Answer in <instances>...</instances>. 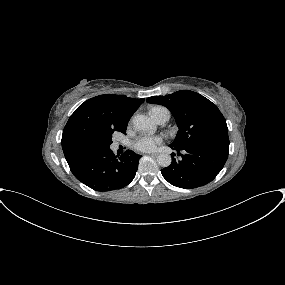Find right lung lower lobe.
Instances as JSON below:
<instances>
[{"mask_svg":"<svg viewBox=\"0 0 285 285\" xmlns=\"http://www.w3.org/2000/svg\"><path fill=\"white\" fill-rule=\"evenodd\" d=\"M141 155L127 150L117 159L110 148L95 147L68 160L73 175L96 191L117 190L135 177Z\"/></svg>","mask_w":285,"mask_h":285,"instance_id":"1","label":"right lung lower lobe"}]
</instances>
